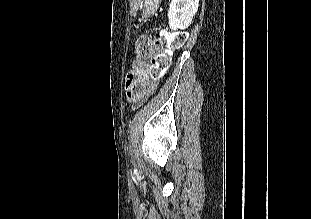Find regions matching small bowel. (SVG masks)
<instances>
[{
  "instance_id": "c3829d8e",
  "label": "small bowel",
  "mask_w": 311,
  "mask_h": 219,
  "mask_svg": "<svg viewBox=\"0 0 311 219\" xmlns=\"http://www.w3.org/2000/svg\"><path fill=\"white\" fill-rule=\"evenodd\" d=\"M158 79L149 78L145 69L131 70L125 78L126 98L134 106H140L154 92Z\"/></svg>"
}]
</instances>
